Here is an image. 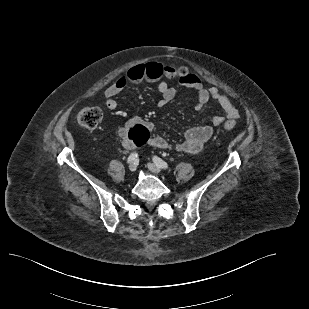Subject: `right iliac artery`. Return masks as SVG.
<instances>
[{
  "label": "right iliac artery",
  "instance_id": "obj_1",
  "mask_svg": "<svg viewBox=\"0 0 309 309\" xmlns=\"http://www.w3.org/2000/svg\"><path fill=\"white\" fill-rule=\"evenodd\" d=\"M138 154L136 152L131 153L127 159V163H132L133 161L137 160Z\"/></svg>",
  "mask_w": 309,
  "mask_h": 309
}]
</instances>
